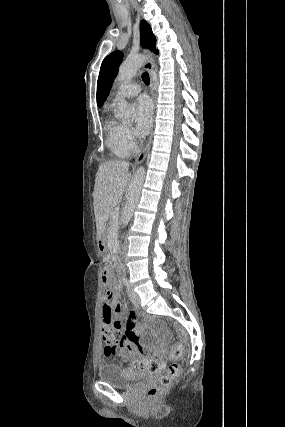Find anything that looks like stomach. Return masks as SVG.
<instances>
[{
    "label": "stomach",
    "instance_id": "0dacf381",
    "mask_svg": "<svg viewBox=\"0 0 285 427\" xmlns=\"http://www.w3.org/2000/svg\"><path fill=\"white\" fill-rule=\"evenodd\" d=\"M98 250L101 254H106L108 251V244L104 235L100 236L97 243Z\"/></svg>",
    "mask_w": 285,
    "mask_h": 427
}]
</instances>
